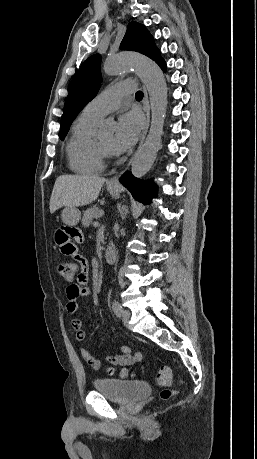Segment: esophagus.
<instances>
[{"instance_id":"1","label":"esophagus","mask_w":257,"mask_h":459,"mask_svg":"<svg viewBox=\"0 0 257 459\" xmlns=\"http://www.w3.org/2000/svg\"><path fill=\"white\" fill-rule=\"evenodd\" d=\"M143 91H144V99H143V110L145 112V116H146V122H145V127H144V130H143V133H142V136H141V139H140V143H139V147H138V150L141 148L144 140H145V137L147 135V132H148V128H149V123H150V105H149V99H148V93H147V90L146 88L143 86ZM137 150V151H138ZM136 154V153H135ZM135 154L133 155V157L129 160L127 166L125 167V169L119 174V175H116L114 177H112L109 181H108V184L109 185H112V186H119L120 183H119V177L122 175V173H124L129 165L131 164Z\"/></svg>"}]
</instances>
